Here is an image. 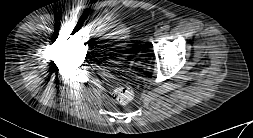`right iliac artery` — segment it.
Wrapping results in <instances>:
<instances>
[{"label": "right iliac artery", "instance_id": "right-iliac-artery-1", "mask_svg": "<svg viewBox=\"0 0 253 138\" xmlns=\"http://www.w3.org/2000/svg\"><path fill=\"white\" fill-rule=\"evenodd\" d=\"M75 27H76V25H75L74 23H71V24L69 25V28H70L71 30H74Z\"/></svg>", "mask_w": 253, "mask_h": 138}]
</instances>
